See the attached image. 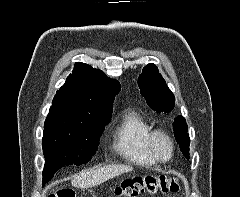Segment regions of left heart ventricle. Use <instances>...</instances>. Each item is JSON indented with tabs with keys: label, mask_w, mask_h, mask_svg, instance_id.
Returning <instances> with one entry per match:
<instances>
[{
	"label": "left heart ventricle",
	"mask_w": 240,
	"mask_h": 197,
	"mask_svg": "<svg viewBox=\"0 0 240 197\" xmlns=\"http://www.w3.org/2000/svg\"><path fill=\"white\" fill-rule=\"evenodd\" d=\"M155 145H156V150L160 156L165 158L169 155V144L165 139L158 138L156 140Z\"/></svg>",
	"instance_id": "1"
}]
</instances>
